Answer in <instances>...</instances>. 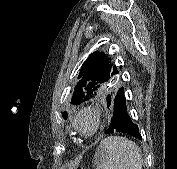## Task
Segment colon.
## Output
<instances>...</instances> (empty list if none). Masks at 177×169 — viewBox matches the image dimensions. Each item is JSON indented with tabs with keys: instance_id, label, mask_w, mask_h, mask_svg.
I'll use <instances>...</instances> for the list:
<instances>
[{
	"instance_id": "1",
	"label": "colon",
	"mask_w": 177,
	"mask_h": 169,
	"mask_svg": "<svg viewBox=\"0 0 177 169\" xmlns=\"http://www.w3.org/2000/svg\"><path fill=\"white\" fill-rule=\"evenodd\" d=\"M68 169H85L83 167H75V168H68Z\"/></svg>"
}]
</instances>
